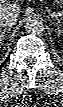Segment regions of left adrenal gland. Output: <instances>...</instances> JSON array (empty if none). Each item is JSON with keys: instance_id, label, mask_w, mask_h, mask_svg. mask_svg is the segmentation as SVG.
<instances>
[{"instance_id": "obj_1", "label": "left adrenal gland", "mask_w": 63, "mask_h": 107, "mask_svg": "<svg viewBox=\"0 0 63 107\" xmlns=\"http://www.w3.org/2000/svg\"><path fill=\"white\" fill-rule=\"evenodd\" d=\"M53 24L57 27L58 35L61 36V35H62V30H60V26H59V24L56 23V22H53Z\"/></svg>"}]
</instances>
